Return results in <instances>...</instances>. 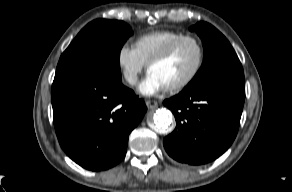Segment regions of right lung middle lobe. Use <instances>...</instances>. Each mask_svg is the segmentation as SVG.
I'll use <instances>...</instances> for the list:
<instances>
[{
	"label": "right lung middle lobe",
	"mask_w": 292,
	"mask_h": 192,
	"mask_svg": "<svg viewBox=\"0 0 292 192\" xmlns=\"http://www.w3.org/2000/svg\"><path fill=\"white\" fill-rule=\"evenodd\" d=\"M133 34L123 21L97 19L87 24L61 55L60 68H78L121 81L119 54Z\"/></svg>",
	"instance_id": "right-lung-middle-lobe-1"
}]
</instances>
